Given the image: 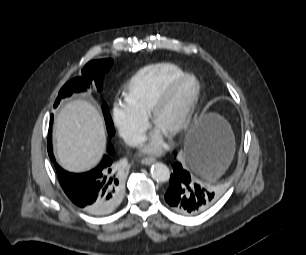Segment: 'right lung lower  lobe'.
<instances>
[{
  "label": "right lung lower lobe",
  "instance_id": "obj_1",
  "mask_svg": "<svg viewBox=\"0 0 306 255\" xmlns=\"http://www.w3.org/2000/svg\"><path fill=\"white\" fill-rule=\"evenodd\" d=\"M52 119L48 153L55 161L51 143ZM108 151L111 154L112 148L109 147ZM55 166L64 192L75 205L84 211L93 215H104L110 213L118 205L122 195L121 178L110 155H104L95 169L81 174L67 172L58 164Z\"/></svg>",
  "mask_w": 306,
  "mask_h": 255
}]
</instances>
